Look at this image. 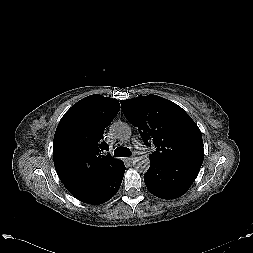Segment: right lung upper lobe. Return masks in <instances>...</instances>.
Segmentation results:
<instances>
[{
	"mask_svg": "<svg viewBox=\"0 0 253 253\" xmlns=\"http://www.w3.org/2000/svg\"><path fill=\"white\" fill-rule=\"evenodd\" d=\"M120 110L119 101L94 94L74 104L61 118L53 140L55 169L79 198L110 179L123 165L103 140L105 128Z\"/></svg>",
	"mask_w": 253,
	"mask_h": 253,
	"instance_id": "cb5924a9",
	"label": "right lung upper lobe"
}]
</instances>
